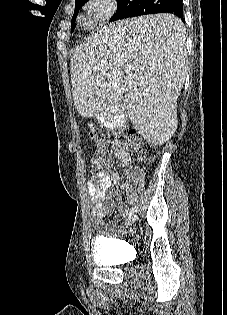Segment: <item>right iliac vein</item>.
<instances>
[{
  "label": "right iliac vein",
  "mask_w": 227,
  "mask_h": 315,
  "mask_svg": "<svg viewBox=\"0 0 227 315\" xmlns=\"http://www.w3.org/2000/svg\"><path fill=\"white\" fill-rule=\"evenodd\" d=\"M137 219V216L136 215H133V216H130L127 221H126V224L127 225H132Z\"/></svg>",
  "instance_id": "1"
}]
</instances>
